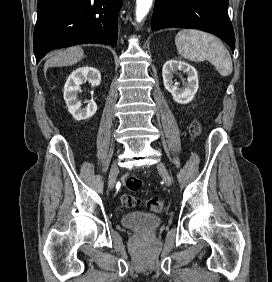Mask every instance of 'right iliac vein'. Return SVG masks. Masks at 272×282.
<instances>
[{
	"label": "right iliac vein",
	"mask_w": 272,
	"mask_h": 282,
	"mask_svg": "<svg viewBox=\"0 0 272 282\" xmlns=\"http://www.w3.org/2000/svg\"><path fill=\"white\" fill-rule=\"evenodd\" d=\"M117 174H118V164L115 161L111 166L109 177H108V186H109L110 189H112L114 187Z\"/></svg>",
	"instance_id": "obj_1"
}]
</instances>
